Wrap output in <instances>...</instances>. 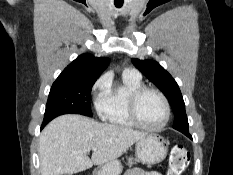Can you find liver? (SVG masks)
Segmentation results:
<instances>
[{"label":"liver","mask_w":233,"mask_h":175,"mask_svg":"<svg viewBox=\"0 0 233 175\" xmlns=\"http://www.w3.org/2000/svg\"><path fill=\"white\" fill-rule=\"evenodd\" d=\"M146 135V132L99 123L81 115L59 116L40 135L41 175L74 174L93 165H104L116 160ZM90 150H93L91 159L87 156Z\"/></svg>","instance_id":"6515ba94"}]
</instances>
